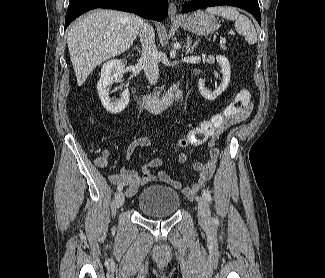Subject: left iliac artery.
Segmentation results:
<instances>
[{
    "label": "left iliac artery",
    "mask_w": 325,
    "mask_h": 278,
    "mask_svg": "<svg viewBox=\"0 0 325 278\" xmlns=\"http://www.w3.org/2000/svg\"><path fill=\"white\" fill-rule=\"evenodd\" d=\"M203 196L205 197V199L208 201V202H211L212 201V197L210 195V193L206 190H203Z\"/></svg>",
    "instance_id": "44dca946"
}]
</instances>
